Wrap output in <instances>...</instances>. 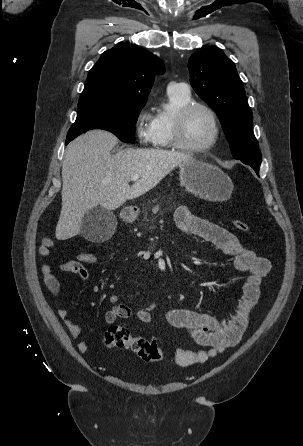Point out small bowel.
Listing matches in <instances>:
<instances>
[{
  "mask_svg": "<svg viewBox=\"0 0 303 446\" xmlns=\"http://www.w3.org/2000/svg\"><path fill=\"white\" fill-rule=\"evenodd\" d=\"M177 227L184 233L198 237L216 246L223 253L234 258L233 265L239 272L246 273L247 278L243 285V294L234 313L228 318H217L209 313L188 309L175 308L167 312V321L174 327L185 330L188 335L201 347V350L177 349L174 354L175 362L181 366L202 363L209 358L235 346L244 333L250 319L251 312L260 297V286L263 279L269 274L271 264L268 259L258 256L253 250L243 246L236 236L224 227L194 215L187 207H178L175 212ZM54 242L45 236L41 239L37 254L42 260L41 270L44 283L53 297L61 296V282L52 272L44 259L50 256ZM60 270L76 275L77 280L85 281L89 277L86 267L78 261H67L60 265ZM112 305L106 311L104 319L112 324L117 319H126L132 315L128 305L120 303V296L112 294L108 298ZM156 302L139 309L135 315L142 323H150ZM58 314L65 323L71 336L79 339L82 329L68 315L67 305L61 304ZM82 353L89 350V344L80 340L77 344Z\"/></svg>",
  "mask_w": 303,
  "mask_h": 446,
  "instance_id": "obj_1",
  "label": "small bowel"
}]
</instances>
